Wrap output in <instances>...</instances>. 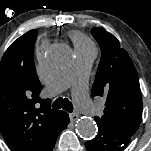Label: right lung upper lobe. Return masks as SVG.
<instances>
[{
	"label": "right lung upper lobe",
	"mask_w": 151,
	"mask_h": 151,
	"mask_svg": "<svg viewBox=\"0 0 151 151\" xmlns=\"http://www.w3.org/2000/svg\"><path fill=\"white\" fill-rule=\"evenodd\" d=\"M37 34L31 30L15 40L0 62V131L11 151H52L66 114L39 98L33 58Z\"/></svg>",
	"instance_id": "cb5924a9"
}]
</instances>
